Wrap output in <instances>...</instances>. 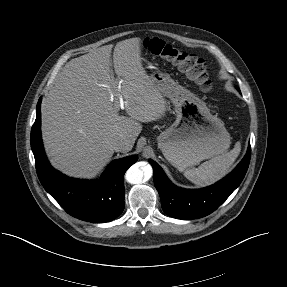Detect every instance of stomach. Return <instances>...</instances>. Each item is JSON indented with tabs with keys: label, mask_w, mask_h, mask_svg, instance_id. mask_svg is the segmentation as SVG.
<instances>
[{
	"label": "stomach",
	"mask_w": 287,
	"mask_h": 287,
	"mask_svg": "<svg viewBox=\"0 0 287 287\" xmlns=\"http://www.w3.org/2000/svg\"><path fill=\"white\" fill-rule=\"evenodd\" d=\"M150 77L175 107L176 120L157 137L158 148L168 162L184 171L229 148L230 134L223 121L212 115L202 100L168 75L154 72Z\"/></svg>",
	"instance_id": "obj_1"
}]
</instances>
